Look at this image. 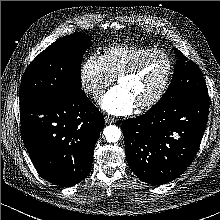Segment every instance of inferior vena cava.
<instances>
[{
    "instance_id": "obj_1",
    "label": "inferior vena cava",
    "mask_w": 220,
    "mask_h": 220,
    "mask_svg": "<svg viewBox=\"0 0 220 220\" xmlns=\"http://www.w3.org/2000/svg\"><path fill=\"white\" fill-rule=\"evenodd\" d=\"M101 92L100 91H96V94L99 95Z\"/></svg>"
}]
</instances>
